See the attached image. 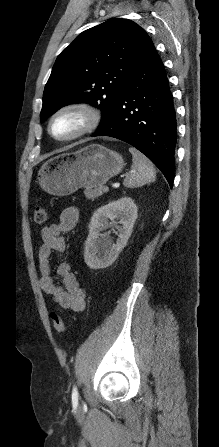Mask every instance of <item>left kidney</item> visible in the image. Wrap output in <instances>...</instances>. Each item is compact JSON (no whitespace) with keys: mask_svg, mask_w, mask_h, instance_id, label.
I'll list each match as a JSON object with an SVG mask.
<instances>
[{"mask_svg":"<svg viewBox=\"0 0 219 447\" xmlns=\"http://www.w3.org/2000/svg\"><path fill=\"white\" fill-rule=\"evenodd\" d=\"M109 219L112 223L117 219L121 224L116 244L109 239V233H100L107 227ZM136 219L137 206L130 197H122L98 208L91 218L85 242L84 260L87 266L94 270L110 266L126 246Z\"/></svg>","mask_w":219,"mask_h":447,"instance_id":"obj_1","label":"left kidney"}]
</instances>
